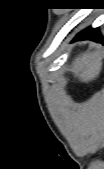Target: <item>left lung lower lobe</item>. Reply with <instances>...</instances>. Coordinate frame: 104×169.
I'll return each instance as SVG.
<instances>
[{"mask_svg": "<svg viewBox=\"0 0 104 169\" xmlns=\"http://www.w3.org/2000/svg\"><path fill=\"white\" fill-rule=\"evenodd\" d=\"M79 39H91V40H95L98 42H103V38L98 28L93 29L91 27L83 30L82 32L77 34V36L74 38V40H79Z\"/></svg>", "mask_w": 104, "mask_h": 169, "instance_id": "1", "label": "left lung lower lobe"}]
</instances>
